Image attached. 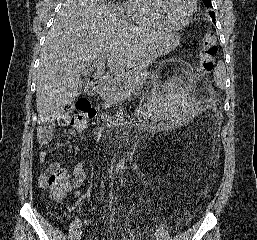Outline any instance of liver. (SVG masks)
<instances>
[{
	"label": "liver",
	"instance_id": "obj_1",
	"mask_svg": "<svg viewBox=\"0 0 257 240\" xmlns=\"http://www.w3.org/2000/svg\"><path fill=\"white\" fill-rule=\"evenodd\" d=\"M165 31L137 27L117 18L103 0H66L40 54L36 104L47 120L81 93L80 72L102 54L111 74L133 66Z\"/></svg>",
	"mask_w": 257,
	"mask_h": 240
}]
</instances>
